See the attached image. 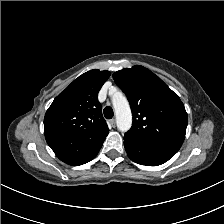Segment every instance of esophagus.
I'll return each instance as SVG.
<instances>
[{"instance_id":"obj_1","label":"esophagus","mask_w":224,"mask_h":224,"mask_svg":"<svg viewBox=\"0 0 224 224\" xmlns=\"http://www.w3.org/2000/svg\"><path fill=\"white\" fill-rule=\"evenodd\" d=\"M109 124L111 125V127L114 128L116 126V120L115 119L109 120Z\"/></svg>"}]
</instances>
